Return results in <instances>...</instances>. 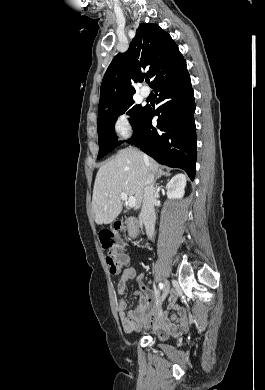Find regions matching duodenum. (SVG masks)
I'll return each mask as SVG.
<instances>
[{"instance_id": "1", "label": "duodenum", "mask_w": 265, "mask_h": 390, "mask_svg": "<svg viewBox=\"0 0 265 390\" xmlns=\"http://www.w3.org/2000/svg\"><path fill=\"white\" fill-rule=\"evenodd\" d=\"M139 224L140 222L134 217H130L127 221V227L132 240H136L138 237Z\"/></svg>"}]
</instances>
